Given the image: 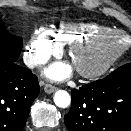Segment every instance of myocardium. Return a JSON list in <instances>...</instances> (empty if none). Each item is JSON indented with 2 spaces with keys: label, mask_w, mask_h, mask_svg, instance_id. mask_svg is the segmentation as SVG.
I'll return each instance as SVG.
<instances>
[{
  "label": "myocardium",
  "mask_w": 131,
  "mask_h": 131,
  "mask_svg": "<svg viewBox=\"0 0 131 131\" xmlns=\"http://www.w3.org/2000/svg\"><path fill=\"white\" fill-rule=\"evenodd\" d=\"M114 37L125 38L126 40L125 44L121 48H119L117 51L112 53L106 60H104L103 62L99 63L98 65L92 68L85 69L81 67H76L78 73L82 77L95 78V77L101 76L107 70H109L114 65V63L120 57H122L124 53L128 50L130 46L129 42H127L128 35L119 30H108V31L94 34L93 36L77 41L69 46L68 53L72 61L74 62V58L77 53L92 50L96 48L97 46H99L105 40L114 38Z\"/></svg>",
  "instance_id": "f54148a6"
}]
</instances>
